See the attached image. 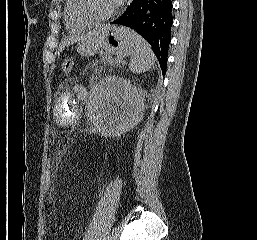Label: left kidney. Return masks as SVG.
<instances>
[{"mask_svg": "<svg viewBox=\"0 0 257 240\" xmlns=\"http://www.w3.org/2000/svg\"><path fill=\"white\" fill-rule=\"evenodd\" d=\"M144 108L141 91L128 80L107 76L93 89L91 119L106 136L132 129L142 120Z\"/></svg>", "mask_w": 257, "mask_h": 240, "instance_id": "obj_1", "label": "left kidney"}]
</instances>
